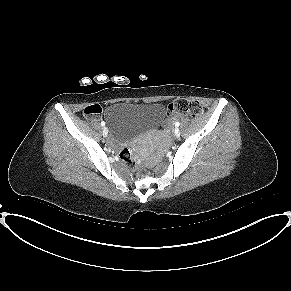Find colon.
Masks as SVG:
<instances>
[{"label":"colon","mask_w":291,"mask_h":291,"mask_svg":"<svg viewBox=\"0 0 291 291\" xmlns=\"http://www.w3.org/2000/svg\"><path fill=\"white\" fill-rule=\"evenodd\" d=\"M168 114L186 115L191 117L200 116L202 113V107L196 100L180 98L172 101L168 105ZM83 114L87 118H99L101 114V107L99 105L87 106ZM121 160L128 165L134 173H137L134 157L130 149L124 148L120 153Z\"/></svg>","instance_id":"1"}]
</instances>
